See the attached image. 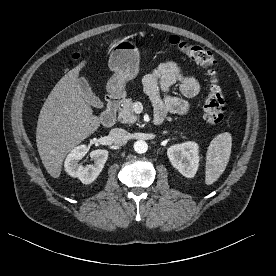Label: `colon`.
Listing matches in <instances>:
<instances>
[{
	"label": "colon",
	"instance_id": "5ec220e1",
	"mask_svg": "<svg viewBox=\"0 0 276 276\" xmlns=\"http://www.w3.org/2000/svg\"><path fill=\"white\" fill-rule=\"evenodd\" d=\"M169 43L195 63L207 69L211 84L208 95L204 100V119L209 125L218 124L223 119L226 100L215 68V58L203 47L183 41L177 36H171ZM76 57H79V55L77 54Z\"/></svg>",
	"mask_w": 276,
	"mask_h": 276
}]
</instances>
